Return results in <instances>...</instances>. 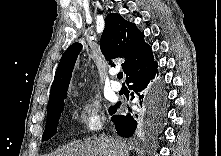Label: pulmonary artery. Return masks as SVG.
<instances>
[{
    "mask_svg": "<svg viewBox=\"0 0 221 156\" xmlns=\"http://www.w3.org/2000/svg\"><path fill=\"white\" fill-rule=\"evenodd\" d=\"M111 87H112V89H113L114 91H120L121 88H122V85H121V83L118 82V81H113V82L111 83Z\"/></svg>",
    "mask_w": 221,
    "mask_h": 156,
    "instance_id": "1",
    "label": "pulmonary artery"
}]
</instances>
